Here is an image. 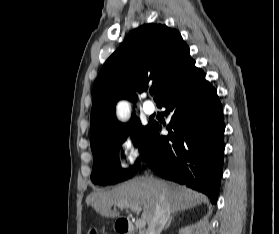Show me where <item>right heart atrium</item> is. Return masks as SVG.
Segmentation results:
<instances>
[{
  "instance_id": "right-heart-atrium-1",
  "label": "right heart atrium",
  "mask_w": 279,
  "mask_h": 234,
  "mask_svg": "<svg viewBox=\"0 0 279 234\" xmlns=\"http://www.w3.org/2000/svg\"><path fill=\"white\" fill-rule=\"evenodd\" d=\"M120 144L125 156L124 168L129 170L138 165L143 156L140 138L135 133L128 132L123 135Z\"/></svg>"
}]
</instances>
